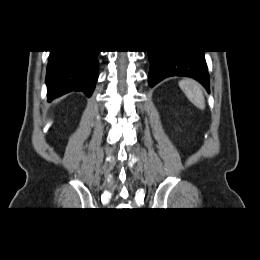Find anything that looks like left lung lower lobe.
Instances as JSON below:
<instances>
[{
	"label": "left lung lower lobe",
	"mask_w": 260,
	"mask_h": 260,
	"mask_svg": "<svg viewBox=\"0 0 260 260\" xmlns=\"http://www.w3.org/2000/svg\"><path fill=\"white\" fill-rule=\"evenodd\" d=\"M148 57L150 87L167 77L185 76L196 79L209 91V74L202 50H153L148 51Z\"/></svg>",
	"instance_id": "0a47b994"
}]
</instances>
